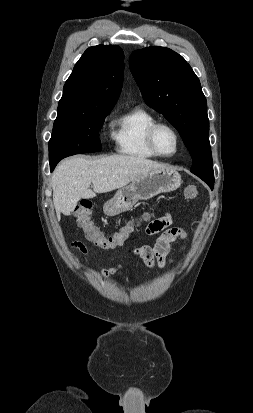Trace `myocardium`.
Here are the masks:
<instances>
[{
    "mask_svg": "<svg viewBox=\"0 0 253 413\" xmlns=\"http://www.w3.org/2000/svg\"><path fill=\"white\" fill-rule=\"evenodd\" d=\"M161 127L168 128L174 134V136L176 138V149L172 154H168V155L163 154L158 150V148L156 146L155 135H156L157 130ZM146 143H147L148 148L156 156L162 157V158H171V157H174L179 152V150L181 148V136H180L178 130L172 124H170L168 122H163V121H156L151 126H149V128L147 129Z\"/></svg>",
    "mask_w": 253,
    "mask_h": 413,
    "instance_id": "myocardium-1",
    "label": "myocardium"
}]
</instances>
